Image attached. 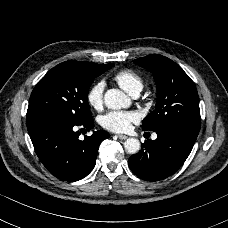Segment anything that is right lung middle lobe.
I'll return each instance as SVG.
<instances>
[{
	"label": "right lung middle lobe",
	"mask_w": 228,
	"mask_h": 228,
	"mask_svg": "<svg viewBox=\"0 0 228 228\" xmlns=\"http://www.w3.org/2000/svg\"><path fill=\"white\" fill-rule=\"evenodd\" d=\"M114 64L65 61L52 68L35 86L26 121L56 116L76 123L92 120L87 101L94 79Z\"/></svg>",
	"instance_id": "dd1d6c3e"
}]
</instances>
